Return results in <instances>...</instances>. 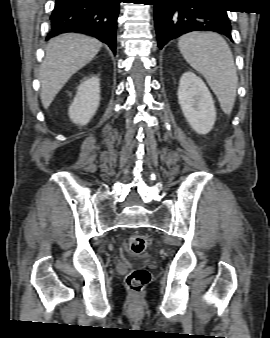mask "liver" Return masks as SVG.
<instances>
[{
  "instance_id": "1",
  "label": "liver",
  "mask_w": 270,
  "mask_h": 338,
  "mask_svg": "<svg viewBox=\"0 0 270 338\" xmlns=\"http://www.w3.org/2000/svg\"><path fill=\"white\" fill-rule=\"evenodd\" d=\"M102 43L81 34H64L50 40L40 69L42 105L47 109L70 77L87 65Z\"/></svg>"
}]
</instances>
